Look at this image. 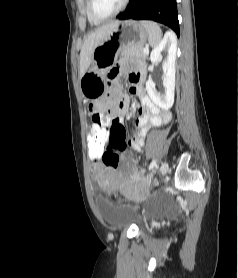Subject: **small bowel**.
Returning a JSON list of instances; mask_svg holds the SVG:
<instances>
[{
    "label": "small bowel",
    "mask_w": 238,
    "mask_h": 278,
    "mask_svg": "<svg viewBox=\"0 0 238 278\" xmlns=\"http://www.w3.org/2000/svg\"><path fill=\"white\" fill-rule=\"evenodd\" d=\"M125 59L124 55L120 56L118 60L119 64L123 63ZM119 64H116L115 67H109V71H106L107 81H113L112 93H104V98H115L117 100V105H109L105 109L106 113H116V117L120 118L126 115L129 111L130 100L127 95L121 93V86L116 80V76H121L122 67ZM145 66L139 64L136 69L131 71L128 75V80L130 83V92L138 96L141 106L138 111L137 118L133 124V137L124 138L123 142L127 143L133 151H140L145 144V139L148 130L151 127L161 125L166 123L170 119V114L166 111L159 109L146 94L143 83L145 79ZM105 105H94L90 108L92 114V124H99V129H90V130H103L105 136L109 137H125L128 131L127 127H124L123 124L116 119V124L118 127H110L111 120L106 118L102 113V109ZM110 128V131H109ZM95 135H89V137H94ZM108 169H113V167H108ZM137 177L136 174H133L128 177L127 181H133ZM101 183L105 187H110L112 189H121L125 181L117 180L111 173L105 171L101 175Z\"/></svg>",
    "instance_id": "obj_1"
}]
</instances>
